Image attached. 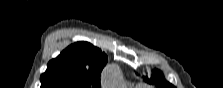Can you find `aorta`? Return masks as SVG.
<instances>
[{
  "instance_id": "762f6f07",
  "label": "aorta",
  "mask_w": 223,
  "mask_h": 88,
  "mask_svg": "<svg viewBox=\"0 0 223 88\" xmlns=\"http://www.w3.org/2000/svg\"><path fill=\"white\" fill-rule=\"evenodd\" d=\"M102 86L104 88H120L122 86V78L116 65L106 67L102 75Z\"/></svg>"
}]
</instances>
